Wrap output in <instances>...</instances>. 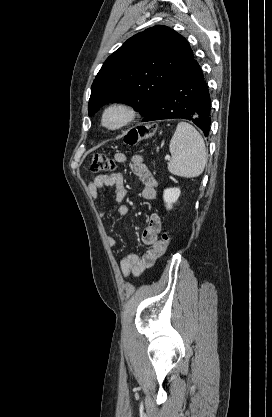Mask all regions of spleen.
<instances>
[{
    "label": "spleen",
    "mask_w": 272,
    "mask_h": 417,
    "mask_svg": "<svg viewBox=\"0 0 272 417\" xmlns=\"http://www.w3.org/2000/svg\"><path fill=\"white\" fill-rule=\"evenodd\" d=\"M168 163L170 173L186 178L199 176L207 163L205 143L200 133L189 123H178L171 138Z\"/></svg>",
    "instance_id": "3e777b00"
}]
</instances>
